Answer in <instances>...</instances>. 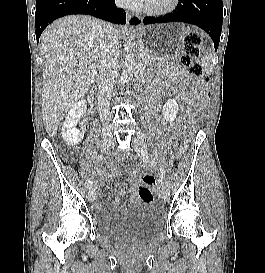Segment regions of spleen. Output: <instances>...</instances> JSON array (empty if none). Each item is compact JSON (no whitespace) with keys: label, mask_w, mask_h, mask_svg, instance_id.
Listing matches in <instances>:
<instances>
[{"label":"spleen","mask_w":265,"mask_h":273,"mask_svg":"<svg viewBox=\"0 0 265 273\" xmlns=\"http://www.w3.org/2000/svg\"><path fill=\"white\" fill-rule=\"evenodd\" d=\"M204 61V66H205V71L206 73H211L212 72V55L209 53H206L203 58Z\"/></svg>","instance_id":"obj_1"}]
</instances>
